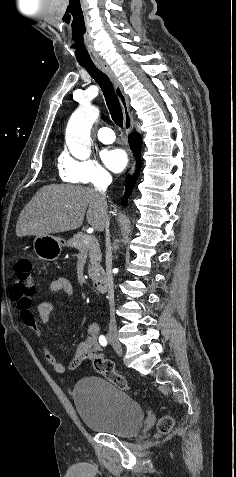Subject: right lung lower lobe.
<instances>
[{"mask_svg":"<svg viewBox=\"0 0 236 477\" xmlns=\"http://www.w3.org/2000/svg\"><path fill=\"white\" fill-rule=\"evenodd\" d=\"M129 144L134 152V156L137 160V167H136V172L135 174L131 176L126 177V182H125V193L122 198V204L126 205L127 199L131 195V192L134 188L135 182L138 178L139 172H140V167H141V160H140V149L142 145V140L141 137L138 133L134 132L129 136Z\"/></svg>","mask_w":236,"mask_h":477,"instance_id":"1","label":"right lung lower lobe"}]
</instances>
